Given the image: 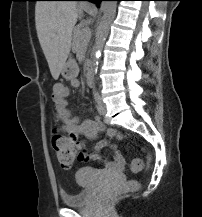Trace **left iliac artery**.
<instances>
[{"label":"left iliac artery","instance_id":"left-iliac-artery-1","mask_svg":"<svg viewBox=\"0 0 202 217\" xmlns=\"http://www.w3.org/2000/svg\"><path fill=\"white\" fill-rule=\"evenodd\" d=\"M93 94H94L95 101L98 102L100 99V95H99L98 91L94 90Z\"/></svg>","mask_w":202,"mask_h":217}]
</instances>
